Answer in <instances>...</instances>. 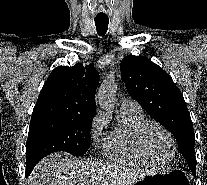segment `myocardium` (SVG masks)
Returning <instances> with one entry per match:
<instances>
[{
	"mask_svg": "<svg viewBox=\"0 0 207 185\" xmlns=\"http://www.w3.org/2000/svg\"><path fill=\"white\" fill-rule=\"evenodd\" d=\"M153 129H158L160 131H162L163 133H165L167 135V137L171 140L173 146H174V152L172 157L169 160H162L160 159L150 148L149 146V134ZM139 141H140V145L143 149V151L151 158L153 159L155 162H158L160 164H168L170 162H172L174 160V158L176 157L177 151H178V147H177V142L173 136V134L170 132L169 129H167L165 126L159 124V123H147L140 131L139 134Z\"/></svg>",
	"mask_w": 207,
	"mask_h": 185,
	"instance_id": "obj_1",
	"label": "myocardium"
}]
</instances>
